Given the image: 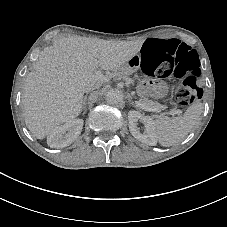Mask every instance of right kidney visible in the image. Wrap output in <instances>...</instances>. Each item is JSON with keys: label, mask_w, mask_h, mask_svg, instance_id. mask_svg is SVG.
<instances>
[{"label": "right kidney", "mask_w": 227, "mask_h": 227, "mask_svg": "<svg viewBox=\"0 0 227 227\" xmlns=\"http://www.w3.org/2000/svg\"><path fill=\"white\" fill-rule=\"evenodd\" d=\"M83 128L82 119H74L63 126L56 127L48 135L47 143L51 148H63L72 144Z\"/></svg>", "instance_id": "1"}]
</instances>
